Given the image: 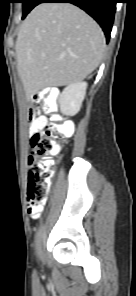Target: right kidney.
I'll return each mask as SVG.
<instances>
[{"instance_id":"ca27d5eb","label":"right kidney","mask_w":136,"mask_h":296,"mask_svg":"<svg viewBox=\"0 0 136 296\" xmlns=\"http://www.w3.org/2000/svg\"><path fill=\"white\" fill-rule=\"evenodd\" d=\"M87 82H77L68 85L59 95L60 110L65 115H75L79 112L85 98Z\"/></svg>"}]
</instances>
